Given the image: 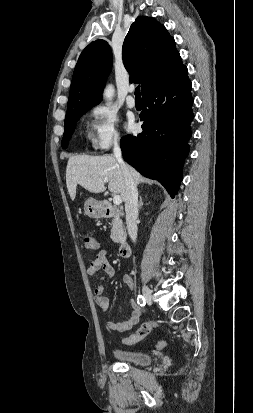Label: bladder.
Masks as SVG:
<instances>
[{"instance_id": "obj_1", "label": "bladder", "mask_w": 253, "mask_h": 413, "mask_svg": "<svg viewBox=\"0 0 253 413\" xmlns=\"http://www.w3.org/2000/svg\"><path fill=\"white\" fill-rule=\"evenodd\" d=\"M112 354L120 362L137 366H147L153 361L150 355L141 352L114 349Z\"/></svg>"}]
</instances>
